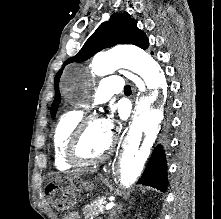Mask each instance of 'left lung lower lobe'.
Masks as SVG:
<instances>
[{
    "label": "left lung lower lobe",
    "instance_id": "0a47b994",
    "mask_svg": "<svg viewBox=\"0 0 221 219\" xmlns=\"http://www.w3.org/2000/svg\"><path fill=\"white\" fill-rule=\"evenodd\" d=\"M137 183L153 186L163 192L167 190L166 157L161 145L154 149L145 171Z\"/></svg>",
    "mask_w": 221,
    "mask_h": 219
}]
</instances>
